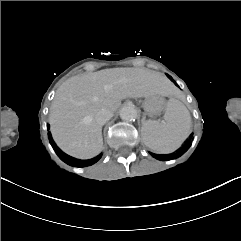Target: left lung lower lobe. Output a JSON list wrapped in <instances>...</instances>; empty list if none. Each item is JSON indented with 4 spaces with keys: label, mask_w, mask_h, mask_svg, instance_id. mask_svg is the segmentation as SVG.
<instances>
[{
    "label": "left lung lower lobe",
    "mask_w": 241,
    "mask_h": 241,
    "mask_svg": "<svg viewBox=\"0 0 241 241\" xmlns=\"http://www.w3.org/2000/svg\"><path fill=\"white\" fill-rule=\"evenodd\" d=\"M168 77L174 82V80H173L170 76H168ZM191 144H192V142H191V137H190V139H189V140L187 141V143L183 146V148H182L180 151H178L176 154H174L173 156H165V155H157V154H151V155H152L154 158H156V159H158V160H162V161L167 160V159H169L170 157L177 158V157L183 155V154L190 148Z\"/></svg>",
    "instance_id": "0a47b994"
}]
</instances>
